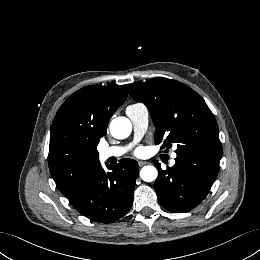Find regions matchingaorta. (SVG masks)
I'll return each instance as SVG.
<instances>
[{
  "mask_svg": "<svg viewBox=\"0 0 260 260\" xmlns=\"http://www.w3.org/2000/svg\"><path fill=\"white\" fill-rule=\"evenodd\" d=\"M132 131V124L126 117H116L110 123V133L116 139L127 138ZM158 171L154 166H144L140 171V177L145 182L156 180Z\"/></svg>",
  "mask_w": 260,
  "mask_h": 260,
  "instance_id": "1",
  "label": "aorta"
}]
</instances>
